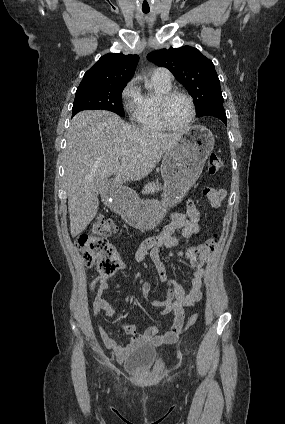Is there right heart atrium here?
I'll use <instances>...</instances> for the list:
<instances>
[{
    "label": "right heart atrium",
    "instance_id": "right-heart-atrium-1",
    "mask_svg": "<svg viewBox=\"0 0 285 424\" xmlns=\"http://www.w3.org/2000/svg\"><path fill=\"white\" fill-rule=\"evenodd\" d=\"M124 109L133 117L138 109L140 101V90L137 86V80L131 79L121 92Z\"/></svg>",
    "mask_w": 285,
    "mask_h": 424
}]
</instances>
